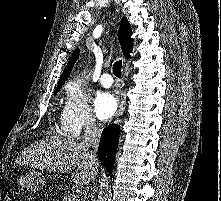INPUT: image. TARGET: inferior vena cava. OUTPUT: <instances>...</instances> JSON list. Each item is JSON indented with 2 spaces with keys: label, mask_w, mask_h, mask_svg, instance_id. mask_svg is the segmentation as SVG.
<instances>
[{
  "label": "inferior vena cava",
  "mask_w": 221,
  "mask_h": 201,
  "mask_svg": "<svg viewBox=\"0 0 221 201\" xmlns=\"http://www.w3.org/2000/svg\"><path fill=\"white\" fill-rule=\"evenodd\" d=\"M101 130L96 126L94 118H91L86 129L84 130V143L89 147H92L94 151H91V157L94 161H98L96 151L100 142Z\"/></svg>",
  "instance_id": "obj_1"
}]
</instances>
